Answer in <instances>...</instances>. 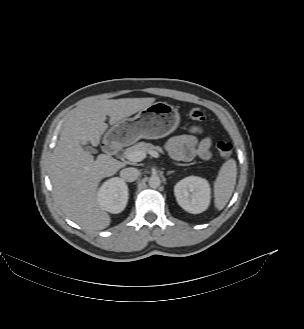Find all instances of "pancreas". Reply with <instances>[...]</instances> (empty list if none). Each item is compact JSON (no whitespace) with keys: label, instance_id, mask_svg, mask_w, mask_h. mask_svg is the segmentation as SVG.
<instances>
[{"label":"pancreas","instance_id":"1","mask_svg":"<svg viewBox=\"0 0 304 329\" xmlns=\"http://www.w3.org/2000/svg\"><path fill=\"white\" fill-rule=\"evenodd\" d=\"M151 150H154V151L157 150L159 152H163L161 147H159V146H154L153 144L147 143V142H139V143L127 148L124 151V154L129 153L131 151H143L147 154Z\"/></svg>","mask_w":304,"mask_h":329}]
</instances>
